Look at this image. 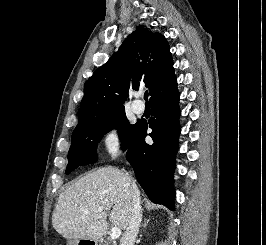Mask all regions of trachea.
<instances>
[{
  "label": "trachea",
  "mask_w": 266,
  "mask_h": 245,
  "mask_svg": "<svg viewBox=\"0 0 266 245\" xmlns=\"http://www.w3.org/2000/svg\"><path fill=\"white\" fill-rule=\"evenodd\" d=\"M144 100L146 101V103H148V91H146L144 94Z\"/></svg>",
  "instance_id": "1"
}]
</instances>
